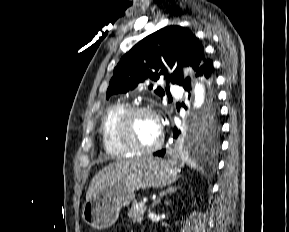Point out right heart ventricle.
Returning a JSON list of instances; mask_svg holds the SVG:
<instances>
[{
    "label": "right heart ventricle",
    "instance_id": "e07e8e85",
    "mask_svg": "<svg viewBox=\"0 0 289 232\" xmlns=\"http://www.w3.org/2000/svg\"><path fill=\"white\" fill-rule=\"evenodd\" d=\"M122 103L110 105L103 114L100 124L102 143L106 153L113 157H127L132 152L125 148L116 136V123L119 115L125 109Z\"/></svg>",
    "mask_w": 289,
    "mask_h": 232
}]
</instances>
